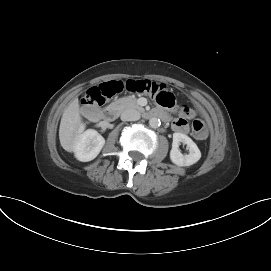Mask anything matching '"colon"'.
<instances>
[{
  "label": "colon",
  "instance_id": "5ec220e1",
  "mask_svg": "<svg viewBox=\"0 0 271 271\" xmlns=\"http://www.w3.org/2000/svg\"><path fill=\"white\" fill-rule=\"evenodd\" d=\"M123 91L150 95L163 107L170 108L175 104V98L170 92L166 91L160 84L145 79L115 80L91 87L82 96V103L96 108L103 105L107 98H111ZM182 111L188 116L192 115V110L187 106H184ZM192 131L193 136L198 140L207 137V127L201 119L193 121Z\"/></svg>",
  "mask_w": 271,
  "mask_h": 271
}]
</instances>
